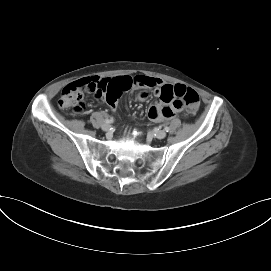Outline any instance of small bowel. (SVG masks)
I'll return each instance as SVG.
<instances>
[{"label": "small bowel", "mask_w": 271, "mask_h": 271, "mask_svg": "<svg viewBox=\"0 0 271 271\" xmlns=\"http://www.w3.org/2000/svg\"><path fill=\"white\" fill-rule=\"evenodd\" d=\"M138 79L141 84L138 87L154 89L155 95L159 97L160 101L152 104L148 110V117L153 121H163L174 118L183 110V105L176 99L166 101L162 97V89L164 87H174L164 83L161 79L149 76H138L131 73H126L122 76H114L112 78H88L92 80L89 85V90L92 95L103 99L106 103L110 104L114 109L118 101L121 100L123 94L134 91L138 85ZM148 97L146 92H142L137 96L138 101H145Z\"/></svg>", "instance_id": "c3829d8e"}]
</instances>
